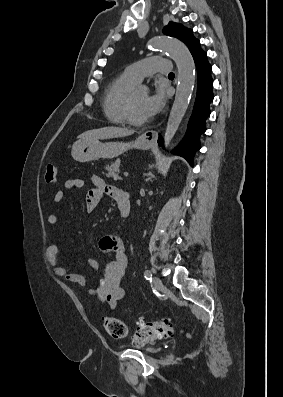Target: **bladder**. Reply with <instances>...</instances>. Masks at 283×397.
<instances>
[{
	"label": "bladder",
	"mask_w": 283,
	"mask_h": 397,
	"mask_svg": "<svg viewBox=\"0 0 283 397\" xmlns=\"http://www.w3.org/2000/svg\"><path fill=\"white\" fill-rule=\"evenodd\" d=\"M132 347L147 354H153L157 352L155 347L147 345V343H134Z\"/></svg>",
	"instance_id": "31cf9c89"
}]
</instances>
